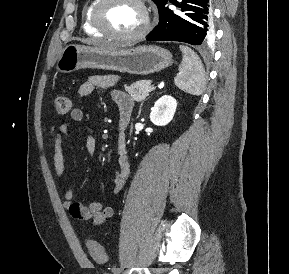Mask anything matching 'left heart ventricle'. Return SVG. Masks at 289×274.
Returning a JSON list of instances; mask_svg holds the SVG:
<instances>
[{
	"instance_id": "obj_1",
	"label": "left heart ventricle",
	"mask_w": 289,
	"mask_h": 274,
	"mask_svg": "<svg viewBox=\"0 0 289 274\" xmlns=\"http://www.w3.org/2000/svg\"><path fill=\"white\" fill-rule=\"evenodd\" d=\"M103 20L116 33L132 34L143 26L144 12L131 0H116L104 10Z\"/></svg>"
}]
</instances>
